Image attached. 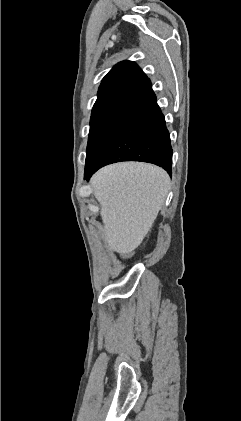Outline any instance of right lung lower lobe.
Listing matches in <instances>:
<instances>
[{
    "label": "right lung lower lobe",
    "mask_w": 241,
    "mask_h": 421,
    "mask_svg": "<svg viewBox=\"0 0 241 421\" xmlns=\"http://www.w3.org/2000/svg\"><path fill=\"white\" fill-rule=\"evenodd\" d=\"M120 161L152 163L171 174L170 136L151 87L134 100L128 115L95 165L85 169L84 179L88 180L99 168Z\"/></svg>",
    "instance_id": "obj_1"
}]
</instances>
